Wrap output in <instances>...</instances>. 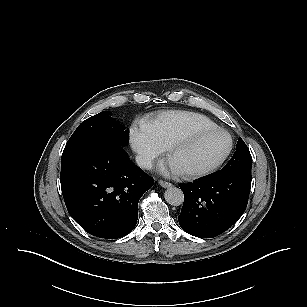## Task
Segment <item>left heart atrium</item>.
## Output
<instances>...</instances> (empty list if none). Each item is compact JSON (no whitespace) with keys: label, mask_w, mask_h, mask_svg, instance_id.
Returning a JSON list of instances; mask_svg holds the SVG:
<instances>
[{"label":"left heart atrium","mask_w":307,"mask_h":307,"mask_svg":"<svg viewBox=\"0 0 307 307\" xmlns=\"http://www.w3.org/2000/svg\"><path fill=\"white\" fill-rule=\"evenodd\" d=\"M159 171L160 173L164 174V175H171V174H177L178 175V171L177 169L171 164L170 160H163L160 165H159Z\"/></svg>","instance_id":"obj_1"}]
</instances>
